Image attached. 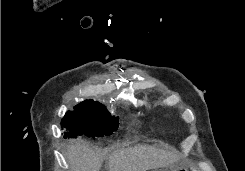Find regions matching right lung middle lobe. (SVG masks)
I'll return each mask as SVG.
<instances>
[{
    "mask_svg": "<svg viewBox=\"0 0 245 171\" xmlns=\"http://www.w3.org/2000/svg\"><path fill=\"white\" fill-rule=\"evenodd\" d=\"M118 117H111L105 106L95 101H85L68 111L61 125L66 128L64 137L79 135L102 137L110 135L118 128Z\"/></svg>",
    "mask_w": 245,
    "mask_h": 171,
    "instance_id": "obj_1",
    "label": "right lung middle lobe"
}]
</instances>
